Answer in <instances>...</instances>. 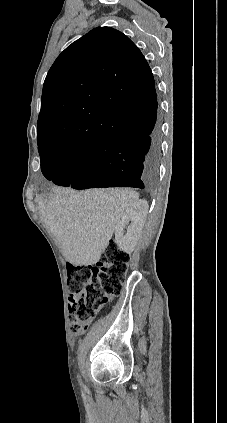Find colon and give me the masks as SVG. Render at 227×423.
<instances>
[{
	"label": "colon",
	"mask_w": 227,
	"mask_h": 423,
	"mask_svg": "<svg viewBox=\"0 0 227 423\" xmlns=\"http://www.w3.org/2000/svg\"><path fill=\"white\" fill-rule=\"evenodd\" d=\"M130 262V255L110 242L94 266H69V311L71 330L87 329L100 309L120 295Z\"/></svg>",
	"instance_id": "obj_1"
}]
</instances>
